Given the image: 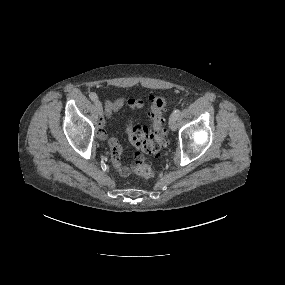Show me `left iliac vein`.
Segmentation results:
<instances>
[{"instance_id":"4c4485c4","label":"left iliac vein","mask_w":285,"mask_h":285,"mask_svg":"<svg viewBox=\"0 0 285 285\" xmlns=\"http://www.w3.org/2000/svg\"><path fill=\"white\" fill-rule=\"evenodd\" d=\"M176 121H177V118H176V117H174V116H171V117H170V120H169V127H170V129L173 130V131H175L176 128H177V123H176Z\"/></svg>"}]
</instances>
